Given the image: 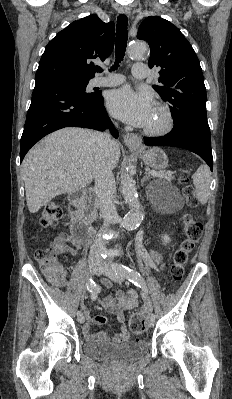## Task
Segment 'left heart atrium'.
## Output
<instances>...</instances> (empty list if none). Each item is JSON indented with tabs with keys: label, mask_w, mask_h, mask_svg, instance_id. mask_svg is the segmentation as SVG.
<instances>
[{
	"label": "left heart atrium",
	"mask_w": 232,
	"mask_h": 399,
	"mask_svg": "<svg viewBox=\"0 0 232 399\" xmlns=\"http://www.w3.org/2000/svg\"><path fill=\"white\" fill-rule=\"evenodd\" d=\"M107 108L120 121L143 128L151 120L155 106L146 93L121 88L110 93Z\"/></svg>",
	"instance_id": "1"
}]
</instances>
